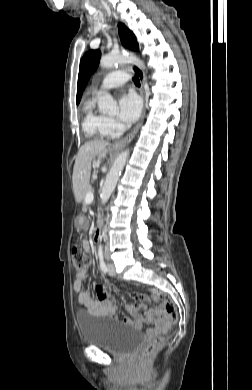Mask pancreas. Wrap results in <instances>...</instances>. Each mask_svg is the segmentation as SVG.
Listing matches in <instances>:
<instances>
[{
	"mask_svg": "<svg viewBox=\"0 0 252 390\" xmlns=\"http://www.w3.org/2000/svg\"><path fill=\"white\" fill-rule=\"evenodd\" d=\"M80 205L83 206V207H82V210H83V211H86V210H87V207H86L87 204H85L84 201H81V202H80Z\"/></svg>",
	"mask_w": 252,
	"mask_h": 390,
	"instance_id": "pancreas-1",
	"label": "pancreas"
}]
</instances>
